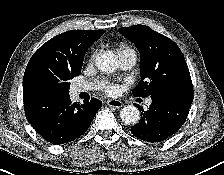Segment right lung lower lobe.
<instances>
[{
    "label": "right lung lower lobe",
    "instance_id": "1",
    "mask_svg": "<svg viewBox=\"0 0 224 175\" xmlns=\"http://www.w3.org/2000/svg\"><path fill=\"white\" fill-rule=\"evenodd\" d=\"M25 115L31 126L48 142H71L89 128L102 102L91 99L72 103L69 93H36L23 97Z\"/></svg>",
    "mask_w": 224,
    "mask_h": 175
}]
</instances>
